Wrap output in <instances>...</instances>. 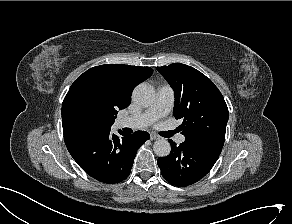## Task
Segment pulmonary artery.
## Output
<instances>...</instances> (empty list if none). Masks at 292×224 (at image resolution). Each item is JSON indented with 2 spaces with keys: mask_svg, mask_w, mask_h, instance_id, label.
<instances>
[{
  "mask_svg": "<svg viewBox=\"0 0 292 224\" xmlns=\"http://www.w3.org/2000/svg\"><path fill=\"white\" fill-rule=\"evenodd\" d=\"M174 103V91L170 86L158 88L156 98L151 107L139 115L121 118L118 121L120 127L132 129L145 128L156 120L165 117L172 109ZM184 136L178 137V142H184Z\"/></svg>",
  "mask_w": 292,
  "mask_h": 224,
  "instance_id": "obj_1",
  "label": "pulmonary artery"
}]
</instances>
